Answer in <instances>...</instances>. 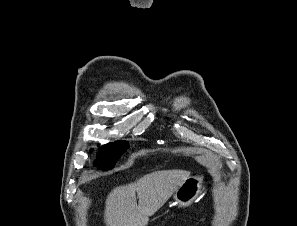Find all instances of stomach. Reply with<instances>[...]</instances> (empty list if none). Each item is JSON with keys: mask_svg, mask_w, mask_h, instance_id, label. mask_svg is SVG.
<instances>
[{"mask_svg": "<svg viewBox=\"0 0 297 226\" xmlns=\"http://www.w3.org/2000/svg\"><path fill=\"white\" fill-rule=\"evenodd\" d=\"M203 176H189L174 192L173 205L181 208L190 206L202 193Z\"/></svg>", "mask_w": 297, "mask_h": 226, "instance_id": "1", "label": "stomach"}]
</instances>
